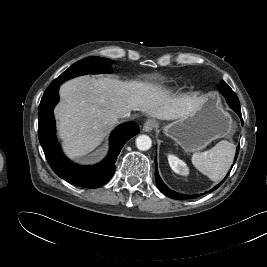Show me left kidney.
<instances>
[{
    "label": "left kidney",
    "mask_w": 267,
    "mask_h": 267,
    "mask_svg": "<svg viewBox=\"0 0 267 267\" xmlns=\"http://www.w3.org/2000/svg\"><path fill=\"white\" fill-rule=\"evenodd\" d=\"M168 162L175 173L180 174L182 176H187L189 174V168L187 167L185 162H183L176 156L169 155Z\"/></svg>",
    "instance_id": "left-kidney-1"
}]
</instances>
